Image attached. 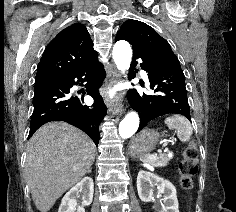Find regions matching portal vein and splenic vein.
I'll return each mask as SVG.
<instances>
[{"instance_id": "obj_1", "label": "portal vein and splenic vein", "mask_w": 236, "mask_h": 212, "mask_svg": "<svg viewBox=\"0 0 236 212\" xmlns=\"http://www.w3.org/2000/svg\"><path fill=\"white\" fill-rule=\"evenodd\" d=\"M172 142V141H171ZM168 149L167 148H165V151H167Z\"/></svg>"}]
</instances>
